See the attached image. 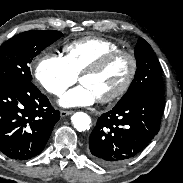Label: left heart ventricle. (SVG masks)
I'll return each instance as SVG.
<instances>
[{"label": "left heart ventricle", "mask_w": 183, "mask_h": 183, "mask_svg": "<svg viewBox=\"0 0 183 183\" xmlns=\"http://www.w3.org/2000/svg\"><path fill=\"white\" fill-rule=\"evenodd\" d=\"M129 71V59L125 56H119L104 70L94 75L84 76L80 82L99 99L115 92L124 83Z\"/></svg>", "instance_id": "1"}]
</instances>
